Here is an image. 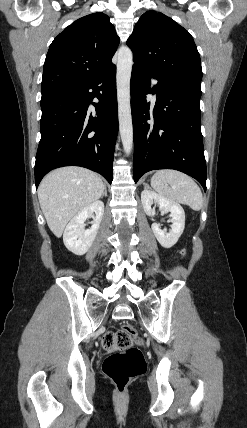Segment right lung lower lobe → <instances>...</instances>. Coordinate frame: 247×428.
<instances>
[{
    "mask_svg": "<svg viewBox=\"0 0 247 428\" xmlns=\"http://www.w3.org/2000/svg\"><path fill=\"white\" fill-rule=\"evenodd\" d=\"M95 113L88 111L91 101ZM41 140L35 162V185L52 169L82 166L110 184L118 133L116 66L85 85L42 94Z\"/></svg>",
    "mask_w": 247,
    "mask_h": 428,
    "instance_id": "obj_1",
    "label": "right lung lower lobe"
}]
</instances>
